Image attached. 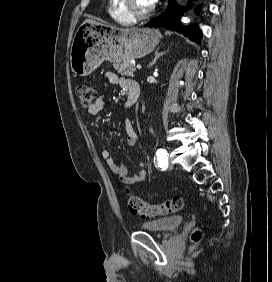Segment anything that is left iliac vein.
Wrapping results in <instances>:
<instances>
[{"instance_id":"left-iliac-vein-1","label":"left iliac vein","mask_w":272,"mask_h":282,"mask_svg":"<svg viewBox=\"0 0 272 282\" xmlns=\"http://www.w3.org/2000/svg\"><path fill=\"white\" fill-rule=\"evenodd\" d=\"M168 167L169 168H172L173 166H172V164L169 162V164H168Z\"/></svg>"}]
</instances>
